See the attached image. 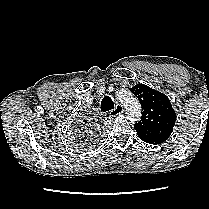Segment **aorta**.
<instances>
[{
	"mask_svg": "<svg viewBox=\"0 0 209 209\" xmlns=\"http://www.w3.org/2000/svg\"><path fill=\"white\" fill-rule=\"evenodd\" d=\"M117 99L123 104L127 117L136 121L141 117V105L139 101L129 92H118Z\"/></svg>",
	"mask_w": 209,
	"mask_h": 209,
	"instance_id": "obj_1",
	"label": "aorta"
}]
</instances>
